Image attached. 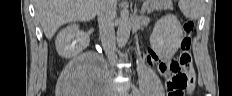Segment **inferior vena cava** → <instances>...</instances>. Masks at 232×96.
Segmentation results:
<instances>
[{"label": "inferior vena cava", "instance_id": "inferior-vena-cava-1", "mask_svg": "<svg viewBox=\"0 0 232 96\" xmlns=\"http://www.w3.org/2000/svg\"><path fill=\"white\" fill-rule=\"evenodd\" d=\"M99 33L103 48L109 58L115 55L114 18L116 16V0H100L98 4Z\"/></svg>", "mask_w": 232, "mask_h": 96}]
</instances>
